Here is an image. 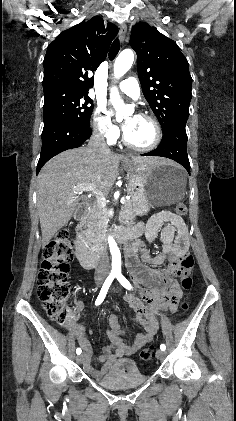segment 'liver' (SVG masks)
<instances>
[{"label": "liver", "instance_id": "obj_1", "mask_svg": "<svg viewBox=\"0 0 236 421\" xmlns=\"http://www.w3.org/2000/svg\"><path fill=\"white\" fill-rule=\"evenodd\" d=\"M132 164L148 166L165 162L155 156H132ZM172 164V162H166ZM119 174V156L113 152H95L86 146L69 148L50 158L37 176V208L45 249L52 237L68 225L79 198L76 184L90 182L103 194L109 192Z\"/></svg>", "mask_w": 236, "mask_h": 421}]
</instances>
